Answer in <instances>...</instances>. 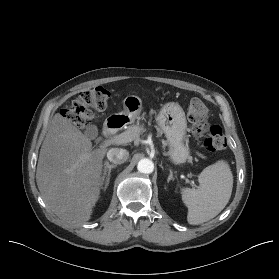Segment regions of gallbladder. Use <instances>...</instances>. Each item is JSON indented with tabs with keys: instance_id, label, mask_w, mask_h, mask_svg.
Instances as JSON below:
<instances>
[{
	"instance_id": "obj_1",
	"label": "gallbladder",
	"mask_w": 279,
	"mask_h": 279,
	"mask_svg": "<svg viewBox=\"0 0 279 279\" xmlns=\"http://www.w3.org/2000/svg\"><path fill=\"white\" fill-rule=\"evenodd\" d=\"M85 135L91 139H94L98 135V129L94 125H90L85 130Z\"/></svg>"
}]
</instances>
